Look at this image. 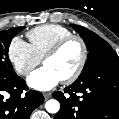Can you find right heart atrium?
Instances as JSON below:
<instances>
[{
  "mask_svg": "<svg viewBox=\"0 0 119 119\" xmlns=\"http://www.w3.org/2000/svg\"><path fill=\"white\" fill-rule=\"evenodd\" d=\"M8 58L20 76H28L41 62L31 45L21 37H14L8 46Z\"/></svg>",
  "mask_w": 119,
  "mask_h": 119,
  "instance_id": "d8ad5b80",
  "label": "right heart atrium"
}]
</instances>
